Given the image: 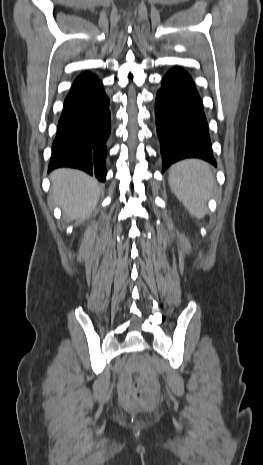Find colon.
I'll use <instances>...</instances> for the list:
<instances>
[{
  "label": "colon",
  "instance_id": "1",
  "mask_svg": "<svg viewBox=\"0 0 263 465\" xmlns=\"http://www.w3.org/2000/svg\"><path fill=\"white\" fill-rule=\"evenodd\" d=\"M155 391L156 384L153 381L141 379L136 396L144 407L150 409L155 403Z\"/></svg>",
  "mask_w": 263,
  "mask_h": 465
}]
</instances>
